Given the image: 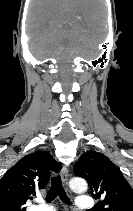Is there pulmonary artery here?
<instances>
[{"instance_id":"1","label":"pulmonary artery","mask_w":133,"mask_h":211,"mask_svg":"<svg viewBox=\"0 0 133 211\" xmlns=\"http://www.w3.org/2000/svg\"><path fill=\"white\" fill-rule=\"evenodd\" d=\"M94 204V200L90 196L80 195L77 197V207L80 210H90L94 207ZM30 211H54V209L50 206L40 205L32 208Z\"/></svg>"}]
</instances>
